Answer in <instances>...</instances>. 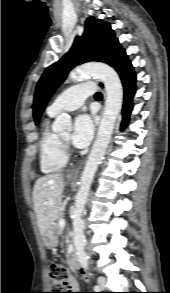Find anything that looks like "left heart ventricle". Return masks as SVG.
<instances>
[{
    "label": "left heart ventricle",
    "instance_id": "left-heart-ventricle-1",
    "mask_svg": "<svg viewBox=\"0 0 170 293\" xmlns=\"http://www.w3.org/2000/svg\"><path fill=\"white\" fill-rule=\"evenodd\" d=\"M60 137L63 138V139H65V140L68 139L69 132H65V133L60 134Z\"/></svg>",
    "mask_w": 170,
    "mask_h": 293
}]
</instances>
